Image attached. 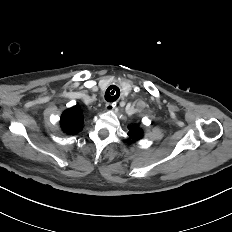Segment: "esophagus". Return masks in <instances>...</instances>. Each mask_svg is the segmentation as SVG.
I'll list each match as a JSON object with an SVG mask.
<instances>
[{
  "mask_svg": "<svg viewBox=\"0 0 232 232\" xmlns=\"http://www.w3.org/2000/svg\"><path fill=\"white\" fill-rule=\"evenodd\" d=\"M115 108V103H107L106 104V110L112 111Z\"/></svg>",
  "mask_w": 232,
  "mask_h": 232,
  "instance_id": "esophagus-1",
  "label": "esophagus"
}]
</instances>
